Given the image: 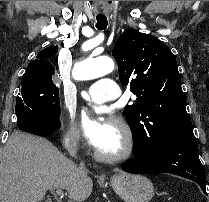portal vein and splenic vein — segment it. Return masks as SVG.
Segmentation results:
<instances>
[{"label":"portal vein and splenic vein","mask_w":209,"mask_h":202,"mask_svg":"<svg viewBox=\"0 0 209 202\" xmlns=\"http://www.w3.org/2000/svg\"><path fill=\"white\" fill-rule=\"evenodd\" d=\"M56 194L59 196V197H63V191L60 187H57L56 188Z\"/></svg>","instance_id":"1"}]
</instances>
